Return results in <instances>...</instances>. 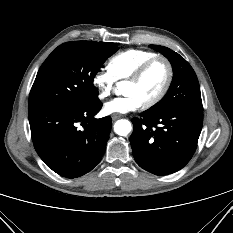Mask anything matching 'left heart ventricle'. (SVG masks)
<instances>
[{
    "mask_svg": "<svg viewBox=\"0 0 233 233\" xmlns=\"http://www.w3.org/2000/svg\"><path fill=\"white\" fill-rule=\"evenodd\" d=\"M167 78V67L162 60L154 62L136 83L126 82L123 92L136 95L142 103L150 101L161 91Z\"/></svg>",
    "mask_w": 233,
    "mask_h": 233,
    "instance_id": "left-heart-ventricle-1",
    "label": "left heart ventricle"
}]
</instances>
